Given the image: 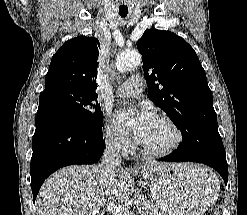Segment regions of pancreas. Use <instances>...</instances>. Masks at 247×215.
<instances>
[{
  "instance_id": "cf45deb5",
  "label": "pancreas",
  "mask_w": 247,
  "mask_h": 215,
  "mask_svg": "<svg viewBox=\"0 0 247 215\" xmlns=\"http://www.w3.org/2000/svg\"><path fill=\"white\" fill-rule=\"evenodd\" d=\"M142 205L139 207L140 215H161L157 209H155L151 204L146 202H141Z\"/></svg>"
}]
</instances>
